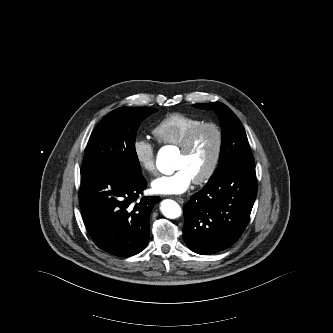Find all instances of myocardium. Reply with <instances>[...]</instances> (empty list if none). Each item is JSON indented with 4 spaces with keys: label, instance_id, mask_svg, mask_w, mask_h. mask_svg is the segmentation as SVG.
<instances>
[{
    "label": "myocardium",
    "instance_id": "obj_1",
    "mask_svg": "<svg viewBox=\"0 0 333 333\" xmlns=\"http://www.w3.org/2000/svg\"><path fill=\"white\" fill-rule=\"evenodd\" d=\"M210 128L215 132L216 135V146H215V151L213 158L211 160V163L207 170L198 178L194 179L193 182L197 185L206 183L208 180L211 179V177L214 175L216 172L220 159H221V154H222V149H223V132L222 129L220 128L219 125L213 122H203L193 128L189 134L186 136L184 142L179 146L180 147V152L183 154L189 153L193 146L194 143L200 134V132L204 129Z\"/></svg>",
    "mask_w": 333,
    "mask_h": 333
}]
</instances>
